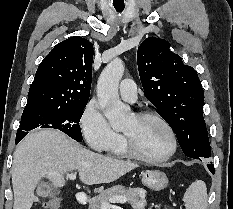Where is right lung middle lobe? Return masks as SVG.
I'll return each instance as SVG.
<instances>
[{
  "label": "right lung middle lobe",
  "mask_w": 233,
  "mask_h": 209,
  "mask_svg": "<svg viewBox=\"0 0 233 209\" xmlns=\"http://www.w3.org/2000/svg\"><path fill=\"white\" fill-rule=\"evenodd\" d=\"M87 102L59 105L35 104L24 108L16 138L24 137L37 127L58 129L74 140L81 142L82 133L79 121Z\"/></svg>",
  "instance_id": "obj_1"
}]
</instances>
